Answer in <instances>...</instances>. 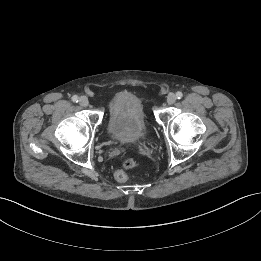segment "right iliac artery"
Wrapping results in <instances>:
<instances>
[{"mask_svg": "<svg viewBox=\"0 0 261 261\" xmlns=\"http://www.w3.org/2000/svg\"><path fill=\"white\" fill-rule=\"evenodd\" d=\"M72 101L77 103V102L79 101V97L76 96V95H74V96L72 97Z\"/></svg>", "mask_w": 261, "mask_h": 261, "instance_id": "right-iliac-artery-1", "label": "right iliac artery"}]
</instances>
